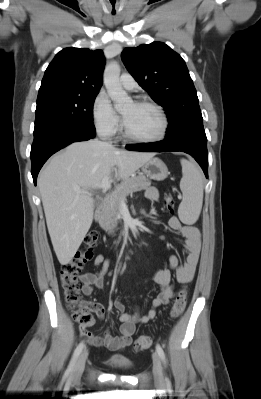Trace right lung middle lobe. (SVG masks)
<instances>
[{"label":"right lung middle lobe","mask_w":261,"mask_h":399,"mask_svg":"<svg viewBox=\"0 0 261 399\" xmlns=\"http://www.w3.org/2000/svg\"><path fill=\"white\" fill-rule=\"evenodd\" d=\"M96 96L61 93L38 97L35 126L63 120L95 131L92 109Z\"/></svg>","instance_id":"1"}]
</instances>
